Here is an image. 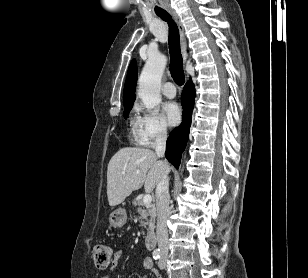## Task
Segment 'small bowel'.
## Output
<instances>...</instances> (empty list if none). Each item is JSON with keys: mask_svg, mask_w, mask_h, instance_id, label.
I'll use <instances>...</instances> for the list:
<instances>
[{"mask_svg": "<svg viewBox=\"0 0 308 278\" xmlns=\"http://www.w3.org/2000/svg\"><path fill=\"white\" fill-rule=\"evenodd\" d=\"M123 255V248L122 247H118L114 250L113 252V265L115 266L118 262V260L122 257ZM142 265L145 269L150 270L153 272L155 278H160L159 273L153 269V262L150 258H145L142 262ZM101 278H110L109 275H105Z\"/></svg>", "mask_w": 308, "mask_h": 278, "instance_id": "1", "label": "small bowel"}]
</instances>
